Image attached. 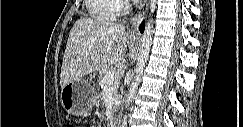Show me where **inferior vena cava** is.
<instances>
[{"mask_svg": "<svg viewBox=\"0 0 243 127\" xmlns=\"http://www.w3.org/2000/svg\"><path fill=\"white\" fill-rule=\"evenodd\" d=\"M127 124V116L124 117L123 123H122V127H125Z\"/></svg>", "mask_w": 243, "mask_h": 127, "instance_id": "602c4592", "label": "inferior vena cava"}]
</instances>
